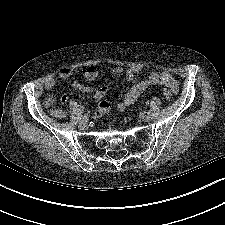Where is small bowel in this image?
Here are the masks:
<instances>
[{"mask_svg": "<svg viewBox=\"0 0 225 225\" xmlns=\"http://www.w3.org/2000/svg\"><path fill=\"white\" fill-rule=\"evenodd\" d=\"M122 70L123 69L121 67H115L113 69V72L116 74H119L122 72ZM139 72H140V67L133 66L126 70L125 76L127 80L131 81L135 78V76ZM72 75H73V70L68 67L62 68L58 73V77L60 79H68ZM97 76H98V69L95 66H89L84 73V77L88 81L95 80ZM56 83H57V77L50 76L44 81V88L47 90H50L55 86ZM151 85H164L170 88L173 92L178 91V83L176 79L170 73L166 71L150 73L145 80L137 82L134 85H132V87L125 94L122 100L118 102H114V103L103 100L107 93V88L105 86L96 88L89 85H83L77 81L71 82V87L74 90L89 93L93 96L95 100L100 102L99 107L97 111L95 112L96 118L102 116L111 108H115L119 111L125 110L127 107L133 104L140 97V95ZM67 99L68 97L65 94L61 96L62 103L67 102ZM55 101L56 99L54 95H48L44 101V105L52 116L56 118H62L64 114L62 115L61 112L64 113V111L55 106Z\"/></svg>", "mask_w": 225, "mask_h": 225, "instance_id": "small-bowel-1", "label": "small bowel"}]
</instances>
